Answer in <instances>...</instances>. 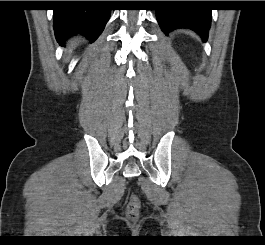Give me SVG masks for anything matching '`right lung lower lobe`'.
Wrapping results in <instances>:
<instances>
[{
	"label": "right lung lower lobe",
	"instance_id": "1",
	"mask_svg": "<svg viewBox=\"0 0 265 245\" xmlns=\"http://www.w3.org/2000/svg\"><path fill=\"white\" fill-rule=\"evenodd\" d=\"M111 10L105 1H76L74 7L54 10V30L60 45L81 33L93 42L103 31Z\"/></svg>",
	"mask_w": 265,
	"mask_h": 245
}]
</instances>
